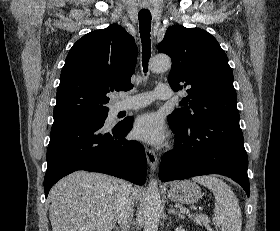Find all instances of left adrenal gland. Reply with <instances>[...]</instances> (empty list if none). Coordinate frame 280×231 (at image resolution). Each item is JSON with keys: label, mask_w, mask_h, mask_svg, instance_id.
<instances>
[{"label": "left adrenal gland", "mask_w": 280, "mask_h": 231, "mask_svg": "<svg viewBox=\"0 0 280 231\" xmlns=\"http://www.w3.org/2000/svg\"><path fill=\"white\" fill-rule=\"evenodd\" d=\"M168 213H174V215H178V217H181V219H184V215H182L181 211H176L175 207L173 205H170V209Z\"/></svg>", "instance_id": "obj_1"}]
</instances>
